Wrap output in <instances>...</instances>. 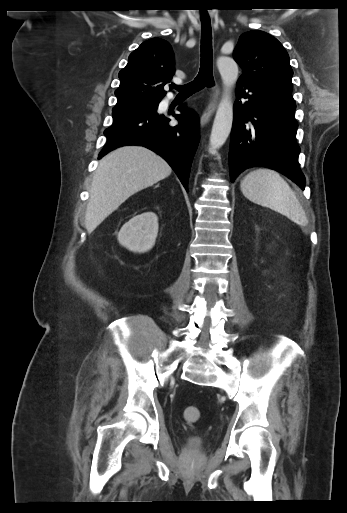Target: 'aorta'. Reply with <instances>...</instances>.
Here are the masks:
<instances>
[{"mask_svg": "<svg viewBox=\"0 0 347 513\" xmlns=\"http://www.w3.org/2000/svg\"><path fill=\"white\" fill-rule=\"evenodd\" d=\"M217 67L223 82V93L219 102L210 135V150L216 152L226 142L233 124L232 88L238 80V65L229 57H220Z\"/></svg>", "mask_w": 347, "mask_h": 513, "instance_id": "1", "label": "aorta"}]
</instances>
